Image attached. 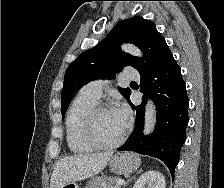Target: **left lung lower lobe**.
<instances>
[{
  "instance_id": "left-lung-lower-lobe-1",
  "label": "left lung lower lobe",
  "mask_w": 224,
  "mask_h": 188,
  "mask_svg": "<svg viewBox=\"0 0 224 188\" xmlns=\"http://www.w3.org/2000/svg\"><path fill=\"white\" fill-rule=\"evenodd\" d=\"M141 89L150 95L157 109V124L150 137L143 136L144 108L147 101L142 98L138 106L130 105L136 110V125L128 142L119 151H134L162 160L172 176L179 162L181 146L186 140L188 124L189 99L182 79L181 69L173 55L156 66L151 72L141 75Z\"/></svg>"
}]
</instances>
